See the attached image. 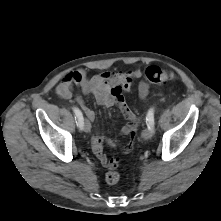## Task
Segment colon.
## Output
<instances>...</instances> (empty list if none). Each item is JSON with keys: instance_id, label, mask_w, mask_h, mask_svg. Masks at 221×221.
<instances>
[{"instance_id": "1", "label": "colon", "mask_w": 221, "mask_h": 221, "mask_svg": "<svg viewBox=\"0 0 221 221\" xmlns=\"http://www.w3.org/2000/svg\"><path fill=\"white\" fill-rule=\"evenodd\" d=\"M145 78L147 81L153 84H164L168 81L175 80L176 76L170 70H167L158 66H150L145 71ZM128 90H129V85L127 83H124L121 87H119L116 90V94H115L116 103L119 106L123 115L126 117H129L131 115L130 109L127 106L124 96H123V93ZM137 125H138V118L136 117L133 127L129 132L131 141H133L135 137V131H136ZM130 146L131 144L129 145V147ZM117 166H118V159H115V158L111 159L109 162L108 171L105 175V180L107 184L109 185H114L118 183V181L120 180V174L116 170Z\"/></svg>"}]
</instances>
